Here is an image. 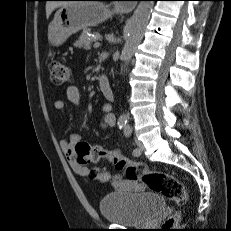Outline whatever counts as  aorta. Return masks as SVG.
<instances>
[{"label":"aorta","instance_id":"obj_1","mask_svg":"<svg viewBox=\"0 0 231 231\" xmlns=\"http://www.w3.org/2000/svg\"><path fill=\"white\" fill-rule=\"evenodd\" d=\"M153 6V1H141L134 11L128 26L126 42L121 54V59L124 63V72L127 70V66L133 57L134 51L143 38L144 31L149 22ZM128 119L129 116L127 113H123L119 117V120L122 122H127Z\"/></svg>","mask_w":231,"mask_h":231}]
</instances>
